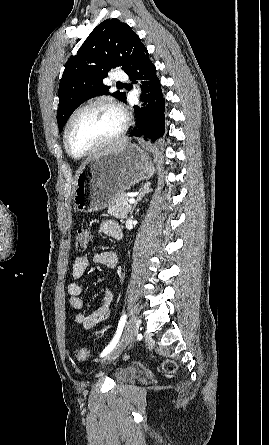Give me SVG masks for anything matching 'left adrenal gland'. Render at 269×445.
<instances>
[{
	"mask_svg": "<svg viewBox=\"0 0 269 445\" xmlns=\"http://www.w3.org/2000/svg\"><path fill=\"white\" fill-rule=\"evenodd\" d=\"M150 185H151L150 182H147L143 185L142 192L137 197L136 202L134 203L133 208L131 210V214L133 213L134 209L136 208L138 202L145 196V194H148L149 192L152 191V189L150 188Z\"/></svg>",
	"mask_w": 269,
	"mask_h": 445,
	"instance_id": "left-adrenal-gland-1",
	"label": "left adrenal gland"
}]
</instances>
